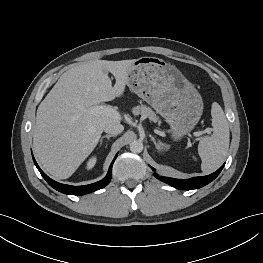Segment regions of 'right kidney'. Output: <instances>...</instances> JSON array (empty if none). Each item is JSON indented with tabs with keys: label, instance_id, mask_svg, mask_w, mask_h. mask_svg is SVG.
Instances as JSON below:
<instances>
[{
	"label": "right kidney",
	"instance_id": "1",
	"mask_svg": "<svg viewBox=\"0 0 263 263\" xmlns=\"http://www.w3.org/2000/svg\"><path fill=\"white\" fill-rule=\"evenodd\" d=\"M96 161H97V157L92 156L87 162V166H86L87 170L92 169L95 166Z\"/></svg>",
	"mask_w": 263,
	"mask_h": 263
}]
</instances>
